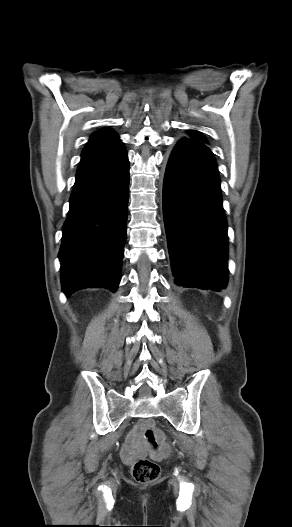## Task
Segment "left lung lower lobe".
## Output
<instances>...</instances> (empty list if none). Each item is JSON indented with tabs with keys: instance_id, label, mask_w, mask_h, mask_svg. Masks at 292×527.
Here are the masks:
<instances>
[{
	"instance_id": "1",
	"label": "left lung lower lobe",
	"mask_w": 292,
	"mask_h": 527,
	"mask_svg": "<svg viewBox=\"0 0 292 527\" xmlns=\"http://www.w3.org/2000/svg\"><path fill=\"white\" fill-rule=\"evenodd\" d=\"M163 214L176 284L219 291L227 284V222L219 171L203 143L183 139L163 183Z\"/></svg>"
}]
</instances>
